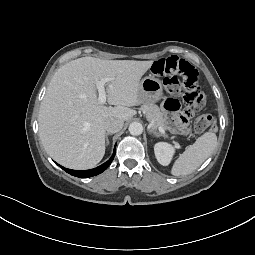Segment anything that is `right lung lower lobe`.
Listing matches in <instances>:
<instances>
[{"mask_svg": "<svg viewBox=\"0 0 255 255\" xmlns=\"http://www.w3.org/2000/svg\"><path fill=\"white\" fill-rule=\"evenodd\" d=\"M114 156H115V149H114V152H113V155L112 157L107 161L105 162L104 164L94 168V169H90V170H71V169H67V168H64L62 166H60L63 170H65L67 173L73 175V176H76V177H80V178H87V177H92V176H95V175H98L100 173H102L104 170L107 169V167L111 164V162L113 161L114 159Z\"/></svg>", "mask_w": 255, "mask_h": 255, "instance_id": "98d812e1", "label": "right lung lower lobe"}]
</instances>
